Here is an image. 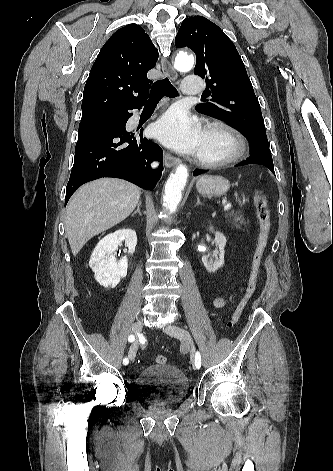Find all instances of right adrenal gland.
<instances>
[{
  "instance_id": "2a0ac1e0",
  "label": "right adrenal gland",
  "mask_w": 333,
  "mask_h": 471,
  "mask_svg": "<svg viewBox=\"0 0 333 471\" xmlns=\"http://www.w3.org/2000/svg\"><path fill=\"white\" fill-rule=\"evenodd\" d=\"M140 206H141V201L138 202L137 210H136L134 213H132V215H131L132 217H133L135 214H137V213H138L139 215H141Z\"/></svg>"
}]
</instances>
